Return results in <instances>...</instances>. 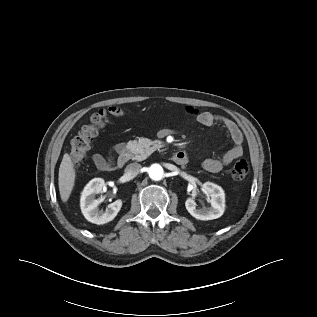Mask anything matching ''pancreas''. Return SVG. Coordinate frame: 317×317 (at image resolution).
<instances>
[{"mask_svg": "<svg viewBox=\"0 0 317 317\" xmlns=\"http://www.w3.org/2000/svg\"><path fill=\"white\" fill-rule=\"evenodd\" d=\"M161 145L155 144L148 138H139V140L129 141L126 145L129 151V158L132 160L142 161L149 157Z\"/></svg>", "mask_w": 317, "mask_h": 317, "instance_id": "cf45deb5", "label": "pancreas"}]
</instances>
